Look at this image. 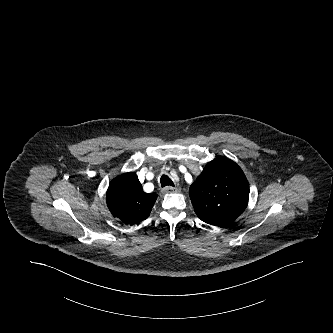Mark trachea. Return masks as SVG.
Instances as JSON below:
<instances>
[{
  "instance_id": "1",
  "label": "trachea",
  "mask_w": 333,
  "mask_h": 333,
  "mask_svg": "<svg viewBox=\"0 0 333 333\" xmlns=\"http://www.w3.org/2000/svg\"><path fill=\"white\" fill-rule=\"evenodd\" d=\"M160 183H161L162 187H165V186H173L174 187L173 181L167 175H162L161 176Z\"/></svg>"
}]
</instances>
